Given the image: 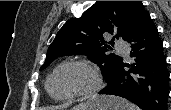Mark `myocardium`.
<instances>
[{
    "label": "myocardium",
    "instance_id": "myocardium-1",
    "mask_svg": "<svg viewBox=\"0 0 171 110\" xmlns=\"http://www.w3.org/2000/svg\"><path fill=\"white\" fill-rule=\"evenodd\" d=\"M68 66H79L84 69H86L92 76V84L83 90H79L76 92H73L67 96L64 97H57L53 95L50 89V83L53 79V77L63 68L68 67ZM46 91L49 94L51 98H53L56 101H69L73 100L76 98H89L97 95L101 89L103 88V78L98 71V69L93 66L91 63L85 60H79V59H72V60H67L59 64L57 67L54 68V70L51 72V74L48 76L46 80Z\"/></svg>",
    "mask_w": 171,
    "mask_h": 110
}]
</instances>
